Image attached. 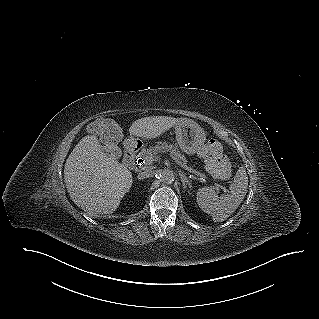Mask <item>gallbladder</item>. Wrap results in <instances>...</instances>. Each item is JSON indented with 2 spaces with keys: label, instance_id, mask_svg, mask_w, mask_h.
<instances>
[{
  "label": "gallbladder",
  "instance_id": "gallbladder-1",
  "mask_svg": "<svg viewBox=\"0 0 319 319\" xmlns=\"http://www.w3.org/2000/svg\"><path fill=\"white\" fill-rule=\"evenodd\" d=\"M118 149L116 145H108L106 147V151L109 153V155L115 156V150Z\"/></svg>",
  "mask_w": 319,
  "mask_h": 319
}]
</instances>
